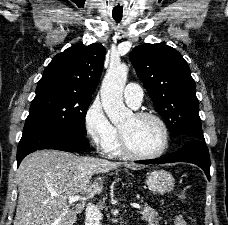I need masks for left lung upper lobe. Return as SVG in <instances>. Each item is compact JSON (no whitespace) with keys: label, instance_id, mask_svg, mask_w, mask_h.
<instances>
[{"label":"left lung upper lobe","instance_id":"left-lung-upper-lobe-1","mask_svg":"<svg viewBox=\"0 0 228 225\" xmlns=\"http://www.w3.org/2000/svg\"><path fill=\"white\" fill-rule=\"evenodd\" d=\"M129 57L171 135L205 141L196 85L181 54L167 45L146 43L135 47Z\"/></svg>","mask_w":228,"mask_h":225}]
</instances>
